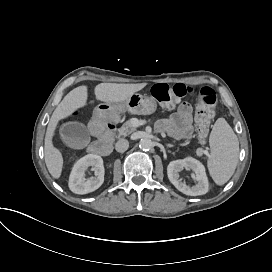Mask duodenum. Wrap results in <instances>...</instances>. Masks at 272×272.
Segmentation results:
<instances>
[{
  "label": "duodenum",
  "instance_id": "obj_1",
  "mask_svg": "<svg viewBox=\"0 0 272 272\" xmlns=\"http://www.w3.org/2000/svg\"><path fill=\"white\" fill-rule=\"evenodd\" d=\"M92 134L97 138L88 148L89 153L98 156H106L112 150L111 139L114 135L115 126L105 117V110H96L90 124Z\"/></svg>",
  "mask_w": 272,
  "mask_h": 272
}]
</instances>
